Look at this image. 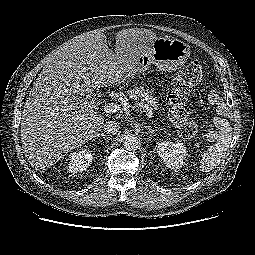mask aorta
<instances>
[{"label": "aorta", "mask_w": 255, "mask_h": 255, "mask_svg": "<svg viewBox=\"0 0 255 255\" xmlns=\"http://www.w3.org/2000/svg\"><path fill=\"white\" fill-rule=\"evenodd\" d=\"M140 139L134 134H127L123 139V146L127 150H136L139 147Z\"/></svg>", "instance_id": "1"}]
</instances>
